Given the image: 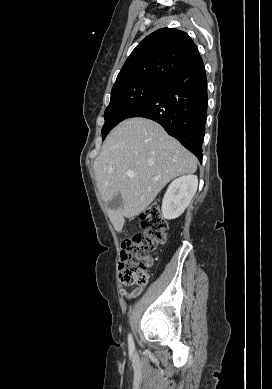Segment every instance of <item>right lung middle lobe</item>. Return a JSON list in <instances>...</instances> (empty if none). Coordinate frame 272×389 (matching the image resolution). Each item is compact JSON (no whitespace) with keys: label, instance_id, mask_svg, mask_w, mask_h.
<instances>
[{"label":"right lung middle lobe","instance_id":"obj_1","mask_svg":"<svg viewBox=\"0 0 272 389\" xmlns=\"http://www.w3.org/2000/svg\"><path fill=\"white\" fill-rule=\"evenodd\" d=\"M165 85L158 81L141 80L112 88L110 103L104 113L103 140L112 128L127 118L133 109Z\"/></svg>","mask_w":272,"mask_h":389}]
</instances>
